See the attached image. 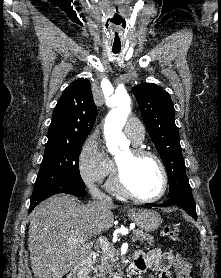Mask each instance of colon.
<instances>
[{
	"label": "colon",
	"instance_id": "1",
	"mask_svg": "<svg viewBox=\"0 0 221 278\" xmlns=\"http://www.w3.org/2000/svg\"><path fill=\"white\" fill-rule=\"evenodd\" d=\"M163 234L174 242L180 241L178 230L171 226L164 227ZM175 271L177 278H192L193 276L191 265L186 259L177 262Z\"/></svg>",
	"mask_w": 221,
	"mask_h": 278
}]
</instances>
